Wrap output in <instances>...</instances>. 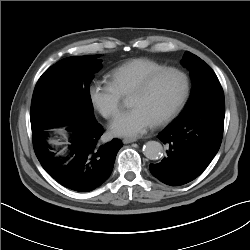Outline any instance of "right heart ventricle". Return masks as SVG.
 Segmentation results:
<instances>
[{
    "mask_svg": "<svg viewBox=\"0 0 250 250\" xmlns=\"http://www.w3.org/2000/svg\"><path fill=\"white\" fill-rule=\"evenodd\" d=\"M164 67L163 64L149 58H134L112 69L109 78L119 93L126 96L132 94L145 77Z\"/></svg>",
    "mask_w": 250,
    "mask_h": 250,
    "instance_id": "right-heart-ventricle-1",
    "label": "right heart ventricle"
}]
</instances>
